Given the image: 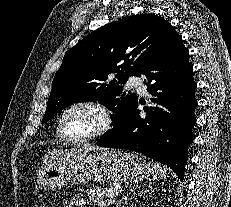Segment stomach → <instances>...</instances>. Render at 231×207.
I'll return each mask as SVG.
<instances>
[{
	"instance_id": "0dacf381",
	"label": "stomach",
	"mask_w": 231,
	"mask_h": 207,
	"mask_svg": "<svg viewBox=\"0 0 231 207\" xmlns=\"http://www.w3.org/2000/svg\"><path fill=\"white\" fill-rule=\"evenodd\" d=\"M150 164L137 154L116 150H73L47 164L37 175L41 190L88 181L136 183L151 175Z\"/></svg>"
}]
</instances>
